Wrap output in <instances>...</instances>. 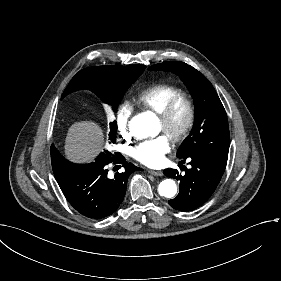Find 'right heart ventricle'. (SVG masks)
<instances>
[{"label":"right heart ventricle","instance_id":"e07e8e85","mask_svg":"<svg viewBox=\"0 0 281 281\" xmlns=\"http://www.w3.org/2000/svg\"><path fill=\"white\" fill-rule=\"evenodd\" d=\"M181 94L183 90L180 87L157 84L140 91L134 101L139 108L150 110L155 114L161 111L171 98Z\"/></svg>","mask_w":281,"mask_h":281}]
</instances>
